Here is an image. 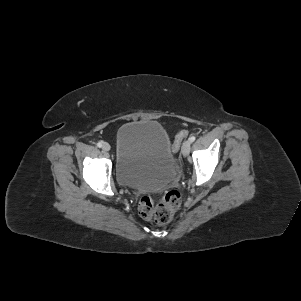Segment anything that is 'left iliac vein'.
<instances>
[{
  "label": "left iliac vein",
  "instance_id": "left-iliac-vein-1",
  "mask_svg": "<svg viewBox=\"0 0 301 301\" xmlns=\"http://www.w3.org/2000/svg\"><path fill=\"white\" fill-rule=\"evenodd\" d=\"M191 142L189 140H186L182 145V154L184 156H187L190 152Z\"/></svg>",
  "mask_w": 301,
  "mask_h": 301
}]
</instances>
